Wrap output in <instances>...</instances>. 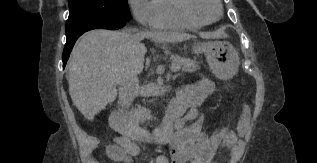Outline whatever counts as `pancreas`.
<instances>
[{
  "mask_svg": "<svg viewBox=\"0 0 317 163\" xmlns=\"http://www.w3.org/2000/svg\"><path fill=\"white\" fill-rule=\"evenodd\" d=\"M174 65L179 66L185 72H194L200 69L199 63L196 60L180 56H175L173 58L172 66ZM150 118V112L145 108H141L140 106L129 114L130 121L135 124L142 123L146 120H149Z\"/></svg>",
  "mask_w": 317,
  "mask_h": 163,
  "instance_id": "1",
  "label": "pancreas"
}]
</instances>
